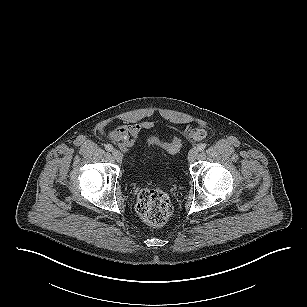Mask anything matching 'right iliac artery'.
<instances>
[{
    "instance_id": "right-iliac-artery-1",
    "label": "right iliac artery",
    "mask_w": 307,
    "mask_h": 307,
    "mask_svg": "<svg viewBox=\"0 0 307 307\" xmlns=\"http://www.w3.org/2000/svg\"><path fill=\"white\" fill-rule=\"evenodd\" d=\"M105 149H106L107 151H112V150H113V146H112L111 144H106V145H105Z\"/></svg>"
}]
</instances>
